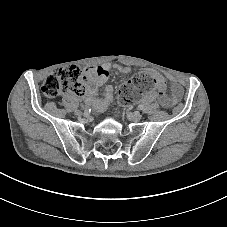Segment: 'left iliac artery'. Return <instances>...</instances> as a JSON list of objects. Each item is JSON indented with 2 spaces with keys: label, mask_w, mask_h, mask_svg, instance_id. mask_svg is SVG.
Wrapping results in <instances>:
<instances>
[{
  "label": "left iliac artery",
  "mask_w": 227,
  "mask_h": 227,
  "mask_svg": "<svg viewBox=\"0 0 227 227\" xmlns=\"http://www.w3.org/2000/svg\"><path fill=\"white\" fill-rule=\"evenodd\" d=\"M144 108V106L142 105V104H140L139 106H138V109L139 110H142Z\"/></svg>",
  "instance_id": "obj_1"
}]
</instances>
